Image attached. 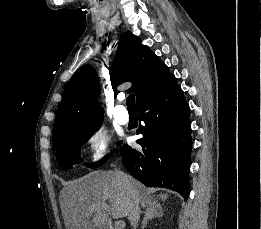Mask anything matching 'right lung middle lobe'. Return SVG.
Here are the masks:
<instances>
[{
	"mask_svg": "<svg viewBox=\"0 0 261 229\" xmlns=\"http://www.w3.org/2000/svg\"><path fill=\"white\" fill-rule=\"evenodd\" d=\"M100 124L73 126L63 129L65 139L56 150L57 160L62 169H69L74 164L81 162L79 156L80 147L100 127ZM107 158L106 156L101 161L88 166L91 168L100 167L106 162Z\"/></svg>",
	"mask_w": 261,
	"mask_h": 229,
	"instance_id": "dd1d6c3e",
	"label": "right lung middle lobe"
}]
</instances>
